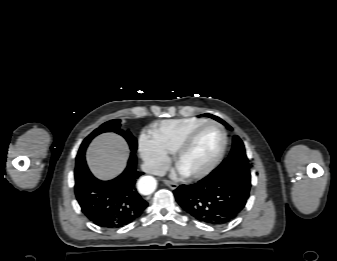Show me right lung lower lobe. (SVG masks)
<instances>
[{"label":"right lung lower lobe","mask_w":337,"mask_h":261,"mask_svg":"<svg viewBox=\"0 0 337 261\" xmlns=\"http://www.w3.org/2000/svg\"><path fill=\"white\" fill-rule=\"evenodd\" d=\"M85 153L76 160L75 195L82 212L96 225L116 229L136 220L147 207L136 190L143 172L136 170V155L131 153L128 166L117 178L100 181L89 171Z\"/></svg>","instance_id":"right-lung-lower-lobe-1"}]
</instances>
